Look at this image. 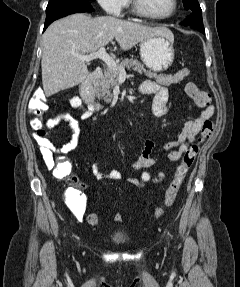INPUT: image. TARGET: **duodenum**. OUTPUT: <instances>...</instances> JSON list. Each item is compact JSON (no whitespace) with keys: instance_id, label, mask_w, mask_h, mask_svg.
I'll use <instances>...</instances> for the list:
<instances>
[{"instance_id":"duodenum-1","label":"duodenum","mask_w":240,"mask_h":287,"mask_svg":"<svg viewBox=\"0 0 240 287\" xmlns=\"http://www.w3.org/2000/svg\"><path fill=\"white\" fill-rule=\"evenodd\" d=\"M102 76V69L95 68L93 72L80 84V94L83 101L94 109H98L100 104L95 100V85Z\"/></svg>"}]
</instances>
